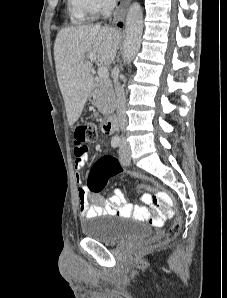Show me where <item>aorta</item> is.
<instances>
[{
  "instance_id": "762f6f07",
  "label": "aorta",
  "mask_w": 227,
  "mask_h": 298,
  "mask_svg": "<svg viewBox=\"0 0 227 298\" xmlns=\"http://www.w3.org/2000/svg\"><path fill=\"white\" fill-rule=\"evenodd\" d=\"M143 33V13L139 3L134 2L126 17V37L123 48L124 62L130 63L138 53Z\"/></svg>"
}]
</instances>
